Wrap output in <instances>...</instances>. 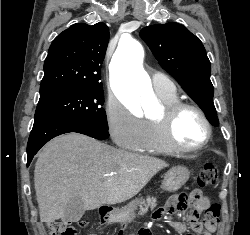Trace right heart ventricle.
Listing matches in <instances>:
<instances>
[{"label":"right heart ventricle","mask_w":250,"mask_h":235,"mask_svg":"<svg viewBox=\"0 0 250 235\" xmlns=\"http://www.w3.org/2000/svg\"><path fill=\"white\" fill-rule=\"evenodd\" d=\"M158 98L164 103V105H171L177 100L176 94L172 95H159ZM146 123V135L142 146L137 150L144 153H171L174 150L171 149L164 141L160 126L154 120H148Z\"/></svg>","instance_id":"obj_1"}]
</instances>
